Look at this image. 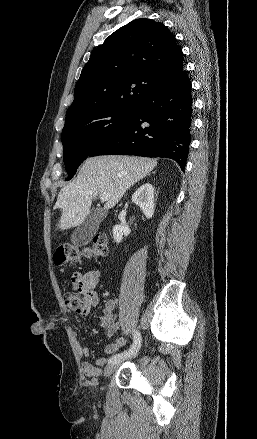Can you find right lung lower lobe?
<instances>
[{
  "instance_id": "right-lung-lower-lobe-1",
  "label": "right lung lower lobe",
  "mask_w": 257,
  "mask_h": 439,
  "mask_svg": "<svg viewBox=\"0 0 257 439\" xmlns=\"http://www.w3.org/2000/svg\"><path fill=\"white\" fill-rule=\"evenodd\" d=\"M191 114V82L183 70L145 97L131 118L89 156L166 157L184 171L191 141Z\"/></svg>"
}]
</instances>
